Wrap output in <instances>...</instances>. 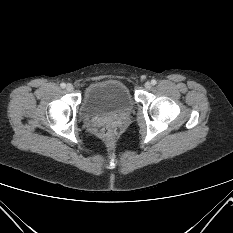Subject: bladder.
<instances>
[{"instance_id":"31cf9c89","label":"bladder","mask_w":233,"mask_h":233,"mask_svg":"<svg viewBox=\"0 0 233 233\" xmlns=\"http://www.w3.org/2000/svg\"><path fill=\"white\" fill-rule=\"evenodd\" d=\"M134 107L128 87L118 79H104L91 83L85 90L80 111L91 118L109 112L126 113Z\"/></svg>"}]
</instances>
